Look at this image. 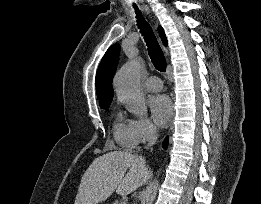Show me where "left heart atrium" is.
Wrapping results in <instances>:
<instances>
[{
  "label": "left heart atrium",
  "instance_id": "obj_1",
  "mask_svg": "<svg viewBox=\"0 0 261 204\" xmlns=\"http://www.w3.org/2000/svg\"><path fill=\"white\" fill-rule=\"evenodd\" d=\"M149 106L156 124L165 127L172 116V105L169 98L162 94L152 96L149 100Z\"/></svg>",
  "mask_w": 261,
  "mask_h": 204
}]
</instances>
